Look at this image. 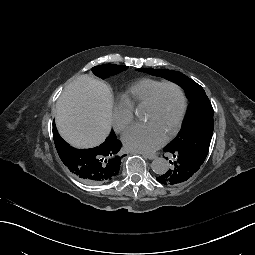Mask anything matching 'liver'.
Instances as JSON below:
<instances>
[{
  "instance_id": "1",
  "label": "liver",
  "mask_w": 255,
  "mask_h": 255,
  "mask_svg": "<svg viewBox=\"0 0 255 255\" xmlns=\"http://www.w3.org/2000/svg\"><path fill=\"white\" fill-rule=\"evenodd\" d=\"M112 106L108 86L88 75L80 76L59 98L55 109L59 132L76 147L98 146L110 131Z\"/></svg>"
}]
</instances>
